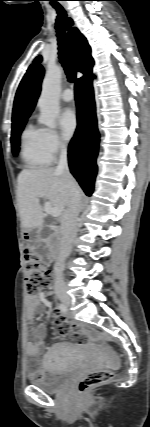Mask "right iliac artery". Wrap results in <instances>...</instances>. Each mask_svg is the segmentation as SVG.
Masks as SVG:
<instances>
[{
  "instance_id": "1",
  "label": "right iliac artery",
  "mask_w": 150,
  "mask_h": 427,
  "mask_svg": "<svg viewBox=\"0 0 150 427\" xmlns=\"http://www.w3.org/2000/svg\"><path fill=\"white\" fill-rule=\"evenodd\" d=\"M59 308L62 312H66L67 311V307L64 304H60Z\"/></svg>"
}]
</instances>
